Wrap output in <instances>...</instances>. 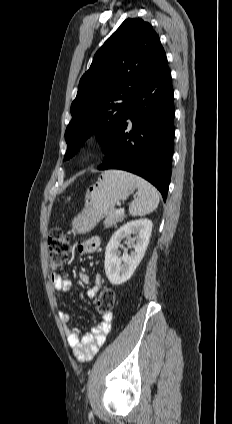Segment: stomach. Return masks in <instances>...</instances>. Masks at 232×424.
<instances>
[{"label":"stomach","instance_id":"0dacf381","mask_svg":"<svg viewBox=\"0 0 232 424\" xmlns=\"http://www.w3.org/2000/svg\"><path fill=\"white\" fill-rule=\"evenodd\" d=\"M136 188L134 176L122 170H107L101 174L86 195L82 212L74 219L73 231L83 234L114 210L117 202L125 201Z\"/></svg>","mask_w":232,"mask_h":424}]
</instances>
